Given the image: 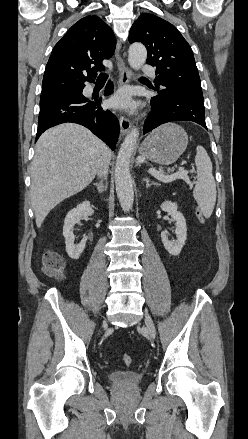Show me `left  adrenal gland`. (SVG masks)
Returning a JSON list of instances; mask_svg holds the SVG:
<instances>
[{
	"mask_svg": "<svg viewBox=\"0 0 248 439\" xmlns=\"http://www.w3.org/2000/svg\"><path fill=\"white\" fill-rule=\"evenodd\" d=\"M143 181L146 183V187H147V188H149V187L152 186V185H158V183H156V182H150V180H149L148 177H145V178L143 179Z\"/></svg>",
	"mask_w": 248,
	"mask_h": 439,
	"instance_id": "left-adrenal-gland-1",
	"label": "left adrenal gland"
}]
</instances>
